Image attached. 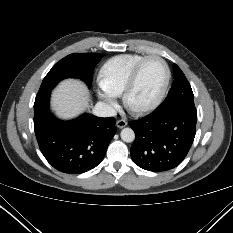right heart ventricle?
Here are the masks:
<instances>
[{"label": "right heart ventricle", "instance_id": "e07e8e85", "mask_svg": "<svg viewBox=\"0 0 233 233\" xmlns=\"http://www.w3.org/2000/svg\"><path fill=\"white\" fill-rule=\"evenodd\" d=\"M145 55L121 54L108 59L98 73L99 86L115 96L122 94L129 75Z\"/></svg>", "mask_w": 233, "mask_h": 233}]
</instances>
